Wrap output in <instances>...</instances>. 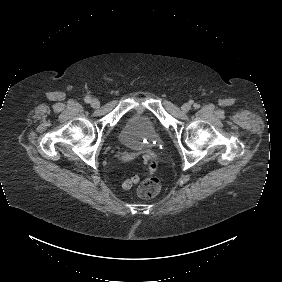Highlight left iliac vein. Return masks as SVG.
<instances>
[{
  "mask_svg": "<svg viewBox=\"0 0 282 282\" xmlns=\"http://www.w3.org/2000/svg\"><path fill=\"white\" fill-rule=\"evenodd\" d=\"M191 109V105L189 103H185L182 105L181 110L183 112H188Z\"/></svg>",
  "mask_w": 282,
  "mask_h": 282,
  "instance_id": "left-iliac-vein-1",
  "label": "left iliac vein"
}]
</instances>
